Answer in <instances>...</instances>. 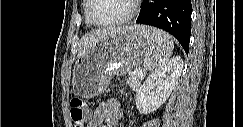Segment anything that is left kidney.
I'll list each match as a JSON object with an SVG mask.
<instances>
[{
	"label": "left kidney",
	"mask_w": 243,
	"mask_h": 127,
	"mask_svg": "<svg viewBox=\"0 0 243 127\" xmlns=\"http://www.w3.org/2000/svg\"><path fill=\"white\" fill-rule=\"evenodd\" d=\"M183 69V60L173 57L152 72L136 94V107L141 114L157 110L169 97Z\"/></svg>",
	"instance_id": "5707ae66"
}]
</instances>
